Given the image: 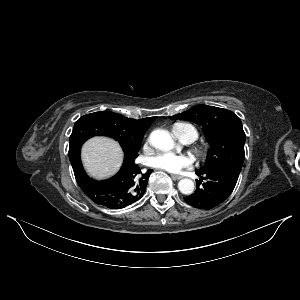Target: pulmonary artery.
<instances>
[{"label": "pulmonary artery", "instance_id": "1", "mask_svg": "<svg viewBox=\"0 0 300 300\" xmlns=\"http://www.w3.org/2000/svg\"><path fill=\"white\" fill-rule=\"evenodd\" d=\"M182 141H184L185 143H191L195 140L194 136L191 133H185L182 135V137L180 138Z\"/></svg>", "mask_w": 300, "mask_h": 300}]
</instances>
